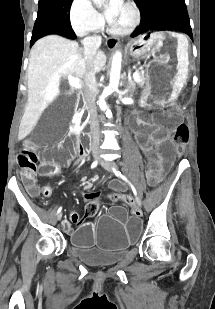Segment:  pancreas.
I'll use <instances>...</instances> for the list:
<instances>
[{
    "label": "pancreas",
    "mask_w": 215,
    "mask_h": 309,
    "mask_svg": "<svg viewBox=\"0 0 215 309\" xmlns=\"http://www.w3.org/2000/svg\"><path fill=\"white\" fill-rule=\"evenodd\" d=\"M136 72H138L139 76H140V80H136V82H134V80H132V82H130V86H132V88H135L136 84H138V86H144L145 84V74L144 72H142L141 68H137Z\"/></svg>",
    "instance_id": "1"
}]
</instances>
